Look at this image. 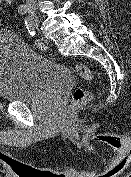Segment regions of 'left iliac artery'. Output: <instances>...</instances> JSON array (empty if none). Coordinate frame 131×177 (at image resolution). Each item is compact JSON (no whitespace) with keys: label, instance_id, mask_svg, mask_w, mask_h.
<instances>
[{"label":"left iliac artery","instance_id":"obj_1","mask_svg":"<svg viewBox=\"0 0 131 177\" xmlns=\"http://www.w3.org/2000/svg\"><path fill=\"white\" fill-rule=\"evenodd\" d=\"M25 26H26V29H27L28 33L31 36H34L35 35V30H34L32 22L28 18L25 19Z\"/></svg>","mask_w":131,"mask_h":177}]
</instances>
